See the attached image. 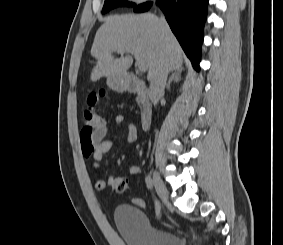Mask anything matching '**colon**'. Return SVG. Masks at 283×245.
Segmentation results:
<instances>
[{
	"label": "colon",
	"instance_id": "5ec220e1",
	"mask_svg": "<svg viewBox=\"0 0 283 245\" xmlns=\"http://www.w3.org/2000/svg\"><path fill=\"white\" fill-rule=\"evenodd\" d=\"M105 94L102 92L100 94H91L87 99V107L83 111V127L85 129H91L93 127H98L104 124L103 118L96 111L95 106L99 103L100 99ZM112 188L119 193L129 190L128 180L125 177H116ZM133 204L140 208L146 207V202L140 197H134L132 200Z\"/></svg>",
	"mask_w": 283,
	"mask_h": 245
}]
</instances>
